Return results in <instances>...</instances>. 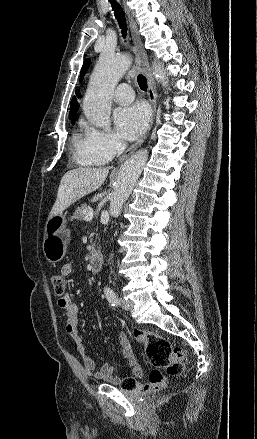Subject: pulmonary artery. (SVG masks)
<instances>
[{
	"label": "pulmonary artery",
	"instance_id": "obj_1",
	"mask_svg": "<svg viewBox=\"0 0 257 439\" xmlns=\"http://www.w3.org/2000/svg\"><path fill=\"white\" fill-rule=\"evenodd\" d=\"M134 99V93L130 85L120 84L114 92V100L119 104H127Z\"/></svg>",
	"mask_w": 257,
	"mask_h": 439
}]
</instances>
